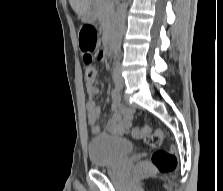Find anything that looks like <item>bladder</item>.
Here are the masks:
<instances>
[{
    "label": "bladder",
    "mask_w": 223,
    "mask_h": 191,
    "mask_svg": "<svg viewBox=\"0 0 223 191\" xmlns=\"http://www.w3.org/2000/svg\"><path fill=\"white\" fill-rule=\"evenodd\" d=\"M133 150L130 140L124 137L102 135L90 140L88 155L92 166H112Z\"/></svg>",
    "instance_id": "bladder-1"
}]
</instances>
